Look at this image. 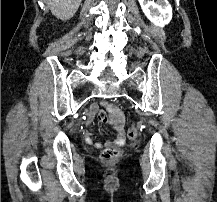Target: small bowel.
<instances>
[{
	"instance_id": "1",
	"label": "small bowel",
	"mask_w": 217,
	"mask_h": 202,
	"mask_svg": "<svg viewBox=\"0 0 217 202\" xmlns=\"http://www.w3.org/2000/svg\"><path fill=\"white\" fill-rule=\"evenodd\" d=\"M104 109H108L107 113V118H113V128L116 132V139L114 141H107L105 144L101 142H94L92 138V134L89 132L84 133V138L85 141L89 144L92 145L94 148L99 149L105 146H111L112 144L116 145H122L125 142V129L123 126V119L121 113H114L115 109H119L120 105L119 104H104L103 105ZM98 110L97 104H92L89 108L88 114H87V119L90 120L92 119L96 112Z\"/></svg>"
}]
</instances>
